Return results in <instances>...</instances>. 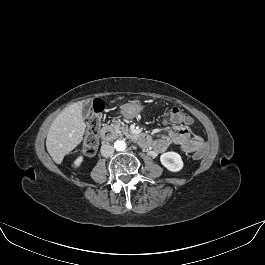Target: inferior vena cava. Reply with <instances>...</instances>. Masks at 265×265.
Segmentation results:
<instances>
[{
  "mask_svg": "<svg viewBox=\"0 0 265 265\" xmlns=\"http://www.w3.org/2000/svg\"><path fill=\"white\" fill-rule=\"evenodd\" d=\"M100 151L103 157H109L114 153V148L110 144H104L101 146Z\"/></svg>",
  "mask_w": 265,
  "mask_h": 265,
  "instance_id": "1",
  "label": "inferior vena cava"
}]
</instances>
